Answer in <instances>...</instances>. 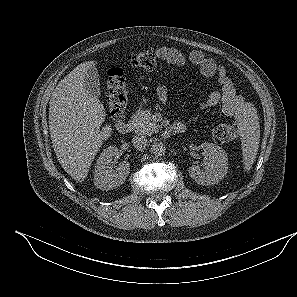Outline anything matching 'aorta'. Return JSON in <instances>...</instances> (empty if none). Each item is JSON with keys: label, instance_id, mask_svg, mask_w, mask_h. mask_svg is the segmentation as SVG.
Returning a JSON list of instances; mask_svg holds the SVG:
<instances>
[{"label": "aorta", "instance_id": "obj_1", "mask_svg": "<svg viewBox=\"0 0 297 297\" xmlns=\"http://www.w3.org/2000/svg\"><path fill=\"white\" fill-rule=\"evenodd\" d=\"M151 152L154 156L160 157L165 154L166 148L162 142H156L151 146Z\"/></svg>", "mask_w": 297, "mask_h": 297}]
</instances>
